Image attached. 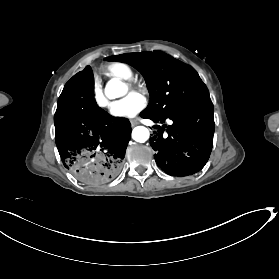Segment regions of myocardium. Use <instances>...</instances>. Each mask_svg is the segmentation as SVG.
I'll use <instances>...</instances> for the list:
<instances>
[{
  "mask_svg": "<svg viewBox=\"0 0 279 279\" xmlns=\"http://www.w3.org/2000/svg\"><path fill=\"white\" fill-rule=\"evenodd\" d=\"M124 84L130 93H144L145 92V87L142 84L137 83L134 79L127 80V81H125Z\"/></svg>",
  "mask_w": 279,
  "mask_h": 279,
  "instance_id": "1",
  "label": "myocardium"
}]
</instances>
